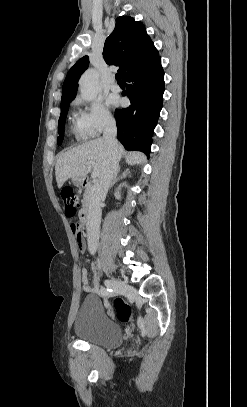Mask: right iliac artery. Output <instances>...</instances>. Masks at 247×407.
Listing matches in <instances>:
<instances>
[{
  "label": "right iliac artery",
  "mask_w": 247,
  "mask_h": 407,
  "mask_svg": "<svg viewBox=\"0 0 247 407\" xmlns=\"http://www.w3.org/2000/svg\"><path fill=\"white\" fill-rule=\"evenodd\" d=\"M99 293H100V295H102V296H111L112 293H113V289H112V288H109V287H107V288L102 287V288L100 289Z\"/></svg>",
  "instance_id": "right-iliac-artery-1"
}]
</instances>
